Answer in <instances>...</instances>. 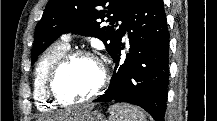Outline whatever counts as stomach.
<instances>
[{
    "instance_id": "stomach-1",
    "label": "stomach",
    "mask_w": 217,
    "mask_h": 121,
    "mask_svg": "<svg viewBox=\"0 0 217 121\" xmlns=\"http://www.w3.org/2000/svg\"><path fill=\"white\" fill-rule=\"evenodd\" d=\"M82 121H106L103 114L98 111H93L85 115Z\"/></svg>"
}]
</instances>
